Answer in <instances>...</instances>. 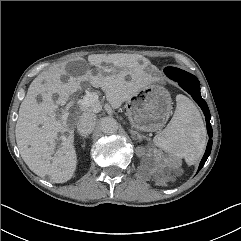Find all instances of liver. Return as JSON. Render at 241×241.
<instances>
[{"mask_svg":"<svg viewBox=\"0 0 241 241\" xmlns=\"http://www.w3.org/2000/svg\"><path fill=\"white\" fill-rule=\"evenodd\" d=\"M88 62L98 69L97 74L94 75L92 70L85 68L83 74L70 76L65 83L61 77L67 74L66 64L41 73L30 84L19 108L15 135L21 157L35 174L40 177L49 176L54 183L70 180L77 166L74 131L67 128L66 120L56 119L58 104L81 89V83L89 81L92 86L100 87L105 92L107 101L116 109L152 81V76L146 71L150 62L139 55H89ZM102 63L110 68H102ZM54 94L59 95L57 100L53 99ZM38 95L42 98L39 103L36 100ZM96 111L90 110L93 113ZM79 117L73 116L71 122L77 123ZM65 131L69 134L62 137L60 146L56 149L58 133Z\"/></svg>","mask_w":241,"mask_h":241,"instance_id":"obj_1","label":"liver"}]
</instances>
